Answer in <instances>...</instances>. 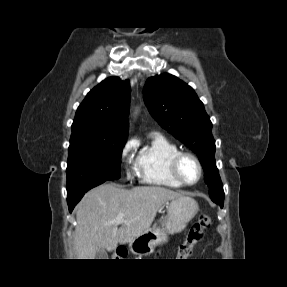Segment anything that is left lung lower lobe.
<instances>
[{"label":"left lung lower lobe","mask_w":287,"mask_h":287,"mask_svg":"<svg viewBox=\"0 0 287 287\" xmlns=\"http://www.w3.org/2000/svg\"><path fill=\"white\" fill-rule=\"evenodd\" d=\"M219 205H220L221 208L223 207V204H219Z\"/></svg>","instance_id":"obj_1"}]
</instances>
